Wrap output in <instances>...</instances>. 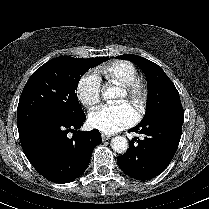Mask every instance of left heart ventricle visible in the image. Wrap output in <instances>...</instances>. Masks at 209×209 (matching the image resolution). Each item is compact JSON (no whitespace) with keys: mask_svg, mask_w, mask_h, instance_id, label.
<instances>
[{"mask_svg":"<svg viewBox=\"0 0 209 209\" xmlns=\"http://www.w3.org/2000/svg\"><path fill=\"white\" fill-rule=\"evenodd\" d=\"M125 101H128V102H130L132 105H134V103H133L132 101L129 100V98L127 97V95L125 94V92H122L120 102H125Z\"/></svg>","mask_w":209,"mask_h":209,"instance_id":"1","label":"left heart ventricle"}]
</instances>
